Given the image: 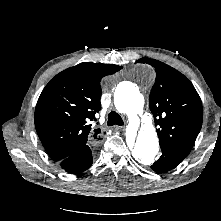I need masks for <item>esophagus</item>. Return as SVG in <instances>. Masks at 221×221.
Masks as SVG:
<instances>
[{"instance_id":"1","label":"esophagus","mask_w":221,"mask_h":221,"mask_svg":"<svg viewBox=\"0 0 221 221\" xmlns=\"http://www.w3.org/2000/svg\"><path fill=\"white\" fill-rule=\"evenodd\" d=\"M116 129L123 131L125 129V127L124 126H117Z\"/></svg>"}]
</instances>
